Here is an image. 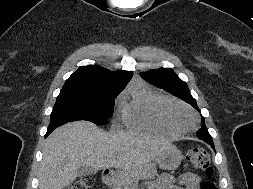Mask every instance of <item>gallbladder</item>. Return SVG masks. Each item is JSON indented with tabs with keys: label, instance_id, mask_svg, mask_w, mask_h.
<instances>
[{
	"label": "gallbladder",
	"instance_id": "obj_1",
	"mask_svg": "<svg viewBox=\"0 0 253 189\" xmlns=\"http://www.w3.org/2000/svg\"><path fill=\"white\" fill-rule=\"evenodd\" d=\"M95 173H96V170L92 167L81 166L78 169V176L91 175V174H95Z\"/></svg>",
	"mask_w": 253,
	"mask_h": 189
}]
</instances>
